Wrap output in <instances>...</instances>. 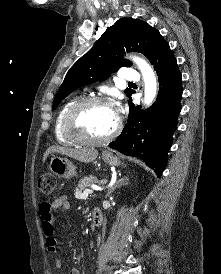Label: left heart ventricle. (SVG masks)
<instances>
[{
    "instance_id": "1",
    "label": "left heart ventricle",
    "mask_w": 221,
    "mask_h": 274,
    "mask_svg": "<svg viewBox=\"0 0 221 274\" xmlns=\"http://www.w3.org/2000/svg\"><path fill=\"white\" fill-rule=\"evenodd\" d=\"M116 112L108 105L89 107L81 116L82 130L91 137H103L111 132L116 122Z\"/></svg>"
}]
</instances>
